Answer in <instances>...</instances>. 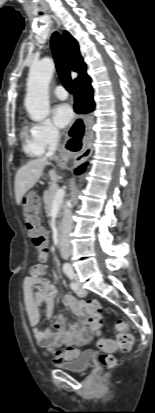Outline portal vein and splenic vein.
I'll return each mask as SVG.
<instances>
[{
  "instance_id": "obj_1",
  "label": "portal vein and splenic vein",
  "mask_w": 155,
  "mask_h": 413,
  "mask_svg": "<svg viewBox=\"0 0 155 413\" xmlns=\"http://www.w3.org/2000/svg\"><path fill=\"white\" fill-rule=\"evenodd\" d=\"M64 196H65V190L59 189V190L56 192V195H55V198H54L53 203H54V204H60V203H62V202H63V199H64Z\"/></svg>"
}]
</instances>
